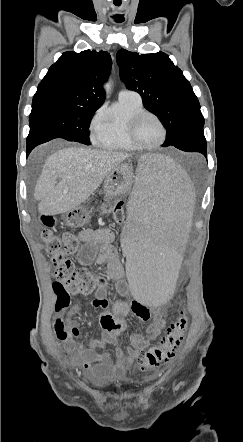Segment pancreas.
Masks as SVG:
<instances>
[{"instance_id": "pancreas-1", "label": "pancreas", "mask_w": 243, "mask_h": 442, "mask_svg": "<svg viewBox=\"0 0 243 442\" xmlns=\"http://www.w3.org/2000/svg\"><path fill=\"white\" fill-rule=\"evenodd\" d=\"M101 209H102V213H106V212H110V211H112L113 207L110 206L109 209H107V205H104V204H103V205L101 206Z\"/></svg>"}]
</instances>
